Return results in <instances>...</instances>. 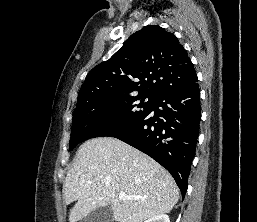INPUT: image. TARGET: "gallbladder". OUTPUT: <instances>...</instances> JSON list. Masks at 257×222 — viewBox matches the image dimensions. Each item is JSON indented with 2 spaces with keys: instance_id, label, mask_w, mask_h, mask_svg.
I'll list each match as a JSON object with an SVG mask.
<instances>
[{
  "instance_id": "gallbladder-1",
  "label": "gallbladder",
  "mask_w": 257,
  "mask_h": 222,
  "mask_svg": "<svg viewBox=\"0 0 257 222\" xmlns=\"http://www.w3.org/2000/svg\"><path fill=\"white\" fill-rule=\"evenodd\" d=\"M113 211L110 206L99 207L92 211L81 222H113Z\"/></svg>"
}]
</instances>
